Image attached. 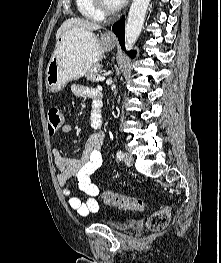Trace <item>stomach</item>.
<instances>
[{"label":"stomach","instance_id":"stomach-1","mask_svg":"<svg viewBox=\"0 0 221 263\" xmlns=\"http://www.w3.org/2000/svg\"><path fill=\"white\" fill-rule=\"evenodd\" d=\"M114 46V39L106 34L97 37L80 29L64 32L45 72L46 88L51 92L60 91L68 82L84 76Z\"/></svg>","mask_w":221,"mask_h":263}]
</instances>
